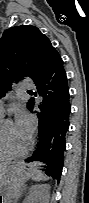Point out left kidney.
<instances>
[{
	"label": "left kidney",
	"mask_w": 89,
	"mask_h": 203,
	"mask_svg": "<svg viewBox=\"0 0 89 203\" xmlns=\"http://www.w3.org/2000/svg\"><path fill=\"white\" fill-rule=\"evenodd\" d=\"M49 203L50 200V187L46 184L37 185L31 188L29 196L23 203Z\"/></svg>",
	"instance_id": "left-kidney-1"
}]
</instances>
